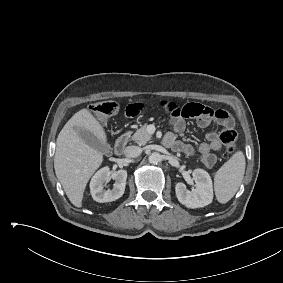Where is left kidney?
Listing matches in <instances>:
<instances>
[{
  "label": "left kidney",
  "mask_w": 283,
  "mask_h": 283,
  "mask_svg": "<svg viewBox=\"0 0 283 283\" xmlns=\"http://www.w3.org/2000/svg\"><path fill=\"white\" fill-rule=\"evenodd\" d=\"M192 176L196 183V188L193 191H189L182 182L176 184L175 192L178 201L192 209L210 204L213 200V185L210 175L203 169H195Z\"/></svg>",
  "instance_id": "5707ae66"
}]
</instances>
